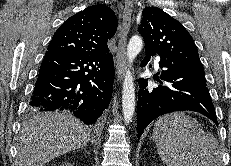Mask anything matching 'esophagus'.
Masks as SVG:
<instances>
[{
  "label": "esophagus",
  "mask_w": 231,
  "mask_h": 166,
  "mask_svg": "<svg viewBox=\"0 0 231 166\" xmlns=\"http://www.w3.org/2000/svg\"><path fill=\"white\" fill-rule=\"evenodd\" d=\"M132 6V0H125L122 17V31L120 39L118 41L116 54L117 82H120L122 80L126 69V43L127 34L131 25Z\"/></svg>",
  "instance_id": "esophagus-1"
}]
</instances>
